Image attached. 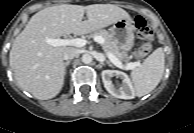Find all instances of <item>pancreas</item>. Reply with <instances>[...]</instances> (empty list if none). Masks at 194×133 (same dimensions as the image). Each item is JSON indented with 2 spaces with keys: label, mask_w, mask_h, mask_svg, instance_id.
<instances>
[{
  "label": "pancreas",
  "mask_w": 194,
  "mask_h": 133,
  "mask_svg": "<svg viewBox=\"0 0 194 133\" xmlns=\"http://www.w3.org/2000/svg\"><path fill=\"white\" fill-rule=\"evenodd\" d=\"M92 35L101 36L105 39V43L102 44L105 53L110 52L119 60L125 58L126 54L120 51L112 35L108 31L99 29L94 31Z\"/></svg>",
  "instance_id": "1"
}]
</instances>
